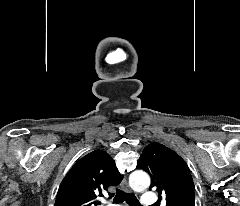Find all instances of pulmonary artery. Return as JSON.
<instances>
[{"mask_svg":"<svg viewBox=\"0 0 240 206\" xmlns=\"http://www.w3.org/2000/svg\"><path fill=\"white\" fill-rule=\"evenodd\" d=\"M157 201V196L154 192H145L142 196V204L145 206L153 205Z\"/></svg>","mask_w":240,"mask_h":206,"instance_id":"e3ab8cb5","label":"pulmonary artery"}]
</instances>
